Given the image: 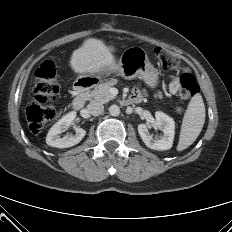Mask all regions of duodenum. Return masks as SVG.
<instances>
[{"label": "duodenum", "instance_id": "410a0bca", "mask_svg": "<svg viewBox=\"0 0 232 232\" xmlns=\"http://www.w3.org/2000/svg\"><path fill=\"white\" fill-rule=\"evenodd\" d=\"M96 82H90V83H85V84H78L75 88V96L72 102V106L74 110H80L84 107L85 101H86V96L87 92L89 89H91ZM141 99L133 97L132 95L130 97H127L122 100L124 105H131L135 103H139Z\"/></svg>", "mask_w": 232, "mask_h": 232}]
</instances>
